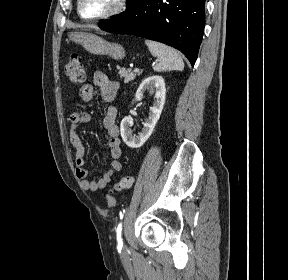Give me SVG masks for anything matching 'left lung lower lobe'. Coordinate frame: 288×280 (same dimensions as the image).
Instances as JSON below:
<instances>
[{
  "label": "left lung lower lobe",
  "instance_id": "1",
  "mask_svg": "<svg viewBox=\"0 0 288 280\" xmlns=\"http://www.w3.org/2000/svg\"><path fill=\"white\" fill-rule=\"evenodd\" d=\"M205 0H136L98 26L111 33L132 34L180 50L194 65L204 32Z\"/></svg>",
  "mask_w": 288,
  "mask_h": 280
}]
</instances>
